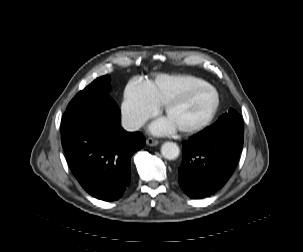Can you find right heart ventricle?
Here are the masks:
<instances>
[{
  "instance_id": "obj_1",
  "label": "right heart ventricle",
  "mask_w": 303,
  "mask_h": 252,
  "mask_svg": "<svg viewBox=\"0 0 303 252\" xmlns=\"http://www.w3.org/2000/svg\"><path fill=\"white\" fill-rule=\"evenodd\" d=\"M200 83L201 79L190 76L160 75L145 88L151 100L162 106L183 97Z\"/></svg>"
}]
</instances>
